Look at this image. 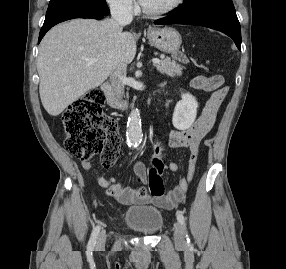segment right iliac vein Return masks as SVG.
Wrapping results in <instances>:
<instances>
[{"instance_id": "obj_1", "label": "right iliac vein", "mask_w": 286, "mask_h": 269, "mask_svg": "<svg viewBox=\"0 0 286 269\" xmlns=\"http://www.w3.org/2000/svg\"><path fill=\"white\" fill-rule=\"evenodd\" d=\"M105 240H106V236H105V233L102 232L100 235H99V238L97 240V248L98 249H102L105 245Z\"/></svg>"}]
</instances>
